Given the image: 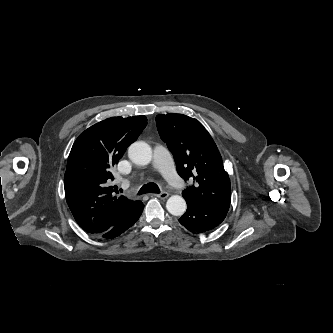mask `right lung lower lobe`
<instances>
[{
  "label": "right lung lower lobe",
  "mask_w": 333,
  "mask_h": 333,
  "mask_svg": "<svg viewBox=\"0 0 333 333\" xmlns=\"http://www.w3.org/2000/svg\"><path fill=\"white\" fill-rule=\"evenodd\" d=\"M143 208H144V204H142V202H141L139 208L133 214H131L129 217L124 219L122 222L118 223L117 225L112 227L110 230L104 232L103 234H101L98 237L112 239V238L119 236L120 234L125 232L128 228H130L139 219L140 215L142 214Z\"/></svg>",
  "instance_id": "98d812e1"
}]
</instances>
